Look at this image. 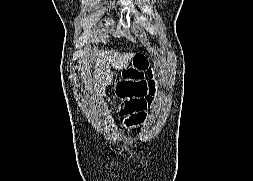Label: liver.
Listing matches in <instances>:
<instances>
[{
	"mask_svg": "<svg viewBox=\"0 0 253 181\" xmlns=\"http://www.w3.org/2000/svg\"><path fill=\"white\" fill-rule=\"evenodd\" d=\"M133 55L134 53L120 54L115 50L102 51L97 47L85 49L81 55V76L85 88L88 91L94 90L100 96L104 95L105 86L112 82V75L109 74L110 65L115 69H126Z\"/></svg>",
	"mask_w": 253,
	"mask_h": 181,
	"instance_id": "obj_1",
	"label": "liver"
}]
</instances>
